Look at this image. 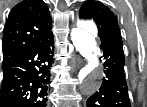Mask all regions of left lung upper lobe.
<instances>
[{"mask_svg":"<svg viewBox=\"0 0 147 107\" xmlns=\"http://www.w3.org/2000/svg\"><path fill=\"white\" fill-rule=\"evenodd\" d=\"M79 17L81 19H91L95 21L101 41L115 35L120 36L117 18L114 17L112 11L100 1H85L80 8Z\"/></svg>","mask_w":147,"mask_h":107,"instance_id":"left-lung-upper-lobe-1","label":"left lung upper lobe"}]
</instances>
